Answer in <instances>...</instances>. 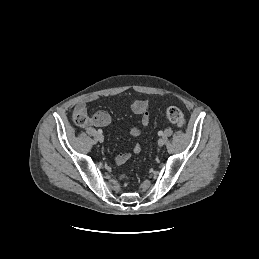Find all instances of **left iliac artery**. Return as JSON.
I'll return each instance as SVG.
<instances>
[{
  "mask_svg": "<svg viewBox=\"0 0 259 259\" xmlns=\"http://www.w3.org/2000/svg\"><path fill=\"white\" fill-rule=\"evenodd\" d=\"M158 135H159V136H162V135H163V132H162V131H159V132H158Z\"/></svg>",
  "mask_w": 259,
  "mask_h": 259,
  "instance_id": "left-iliac-artery-1",
  "label": "left iliac artery"
}]
</instances>
